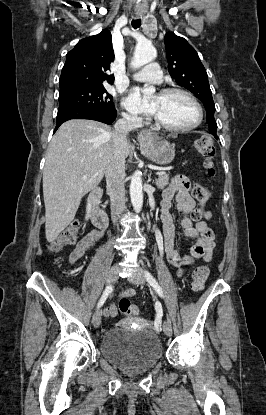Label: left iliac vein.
<instances>
[{
  "mask_svg": "<svg viewBox=\"0 0 266 415\" xmlns=\"http://www.w3.org/2000/svg\"><path fill=\"white\" fill-rule=\"evenodd\" d=\"M129 281L133 284L141 285L145 282V275L141 269H138L135 274L129 277ZM163 331L167 336L172 335V327L168 321H164L163 323Z\"/></svg>",
  "mask_w": 266,
  "mask_h": 415,
  "instance_id": "4c4485c4",
  "label": "left iliac vein"
}]
</instances>
